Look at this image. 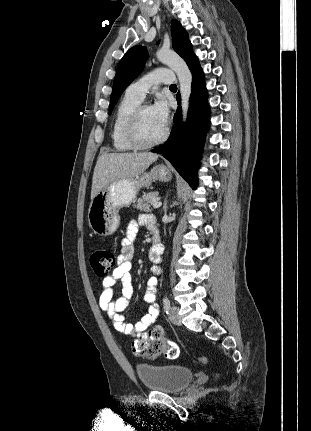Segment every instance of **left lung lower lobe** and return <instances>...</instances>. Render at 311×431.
<instances>
[{
  "mask_svg": "<svg viewBox=\"0 0 311 431\" xmlns=\"http://www.w3.org/2000/svg\"><path fill=\"white\" fill-rule=\"evenodd\" d=\"M187 65L193 76L188 120L185 125L182 124L180 94L178 93L179 107L174 116L175 125L171 131V137L165 144L151 151L162 154L190 186L196 188L197 168L209 125V108L206 101L204 74L198 58L194 55Z\"/></svg>",
  "mask_w": 311,
  "mask_h": 431,
  "instance_id": "0a47b994",
  "label": "left lung lower lobe"
}]
</instances>
